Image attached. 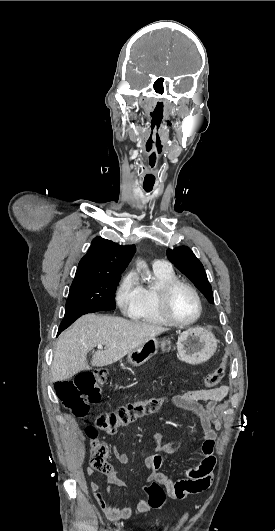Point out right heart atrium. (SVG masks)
<instances>
[{"label": "right heart atrium", "mask_w": 275, "mask_h": 531, "mask_svg": "<svg viewBox=\"0 0 275 531\" xmlns=\"http://www.w3.org/2000/svg\"><path fill=\"white\" fill-rule=\"evenodd\" d=\"M141 289L134 273L125 274L117 287L116 300L126 316L132 317L141 304Z\"/></svg>", "instance_id": "obj_1"}]
</instances>
